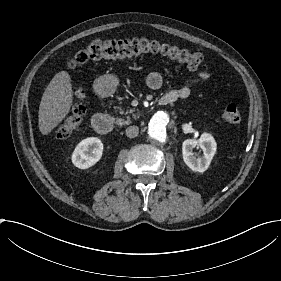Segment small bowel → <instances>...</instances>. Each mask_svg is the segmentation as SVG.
<instances>
[{
    "label": "small bowel",
    "mask_w": 281,
    "mask_h": 281,
    "mask_svg": "<svg viewBox=\"0 0 281 281\" xmlns=\"http://www.w3.org/2000/svg\"><path fill=\"white\" fill-rule=\"evenodd\" d=\"M207 79L208 73L206 71H200L195 78L183 82L172 92L166 94L164 96L163 102L165 104H168L177 99H186L187 97H189L192 92V89L197 83H200ZM147 85L152 90H159L163 86V79L157 72H151L147 76Z\"/></svg>",
    "instance_id": "1"
}]
</instances>
